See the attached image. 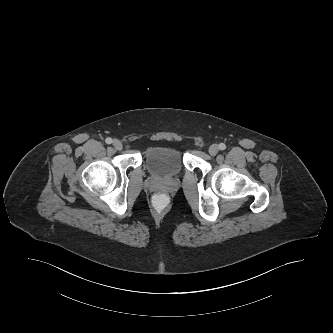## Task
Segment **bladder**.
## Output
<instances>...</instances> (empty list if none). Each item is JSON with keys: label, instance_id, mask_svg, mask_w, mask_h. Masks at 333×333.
Masks as SVG:
<instances>
[{"label": "bladder", "instance_id": "31cf9c89", "mask_svg": "<svg viewBox=\"0 0 333 333\" xmlns=\"http://www.w3.org/2000/svg\"><path fill=\"white\" fill-rule=\"evenodd\" d=\"M143 160L146 169L158 177H174L184 166L182 153L173 147H152L146 151Z\"/></svg>", "mask_w": 333, "mask_h": 333}]
</instances>
